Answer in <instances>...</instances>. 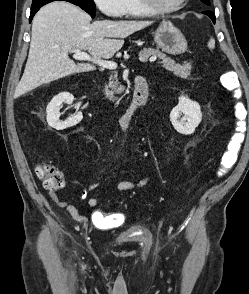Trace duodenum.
I'll return each instance as SVG.
<instances>
[{
    "instance_id": "1",
    "label": "duodenum",
    "mask_w": 249,
    "mask_h": 294,
    "mask_svg": "<svg viewBox=\"0 0 249 294\" xmlns=\"http://www.w3.org/2000/svg\"><path fill=\"white\" fill-rule=\"evenodd\" d=\"M148 98V85L142 76H138L135 80L134 99L129 109L119 118V128L126 129L134 114L141 110Z\"/></svg>"
}]
</instances>
